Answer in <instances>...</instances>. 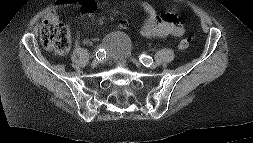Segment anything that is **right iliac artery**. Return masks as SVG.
Instances as JSON below:
<instances>
[{
  "mask_svg": "<svg viewBox=\"0 0 253 143\" xmlns=\"http://www.w3.org/2000/svg\"><path fill=\"white\" fill-rule=\"evenodd\" d=\"M103 52V49H99L97 52H96V58L99 60V58H101L103 55L102 53Z\"/></svg>",
  "mask_w": 253,
  "mask_h": 143,
  "instance_id": "right-iliac-artery-1",
  "label": "right iliac artery"
}]
</instances>
